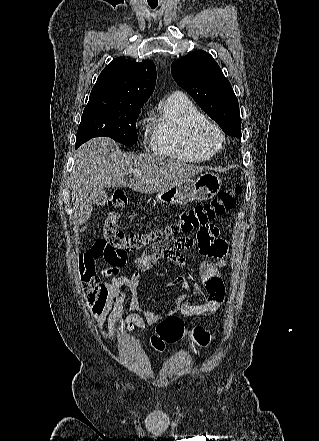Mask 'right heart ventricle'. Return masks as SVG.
Wrapping results in <instances>:
<instances>
[{
  "label": "right heart ventricle",
  "instance_id": "obj_1",
  "mask_svg": "<svg viewBox=\"0 0 319 441\" xmlns=\"http://www.w3.org/2000/svg\"><path fill=\"white\" fill-rule=\"evenodd\" d=\"M207 122L190 99L182 94L171 95L150 123V148L156 154L187 162L206 161L214 151L199 145L197 133Z\"/></svg>",
  "mask_w": 319,
  "mask_h": 441
}]
</instances>
